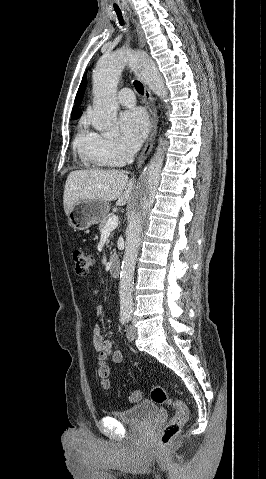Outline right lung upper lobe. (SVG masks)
I'll use <instances>...</instances> for the list:
<instances>
[{
	"mask_svg": "<svg viewBox=\"0 0 266 479\" xmlns=\"http://www.w3.org/2000/svg\"><path fill=\"white\" fill-rule=\"evenodd\" d=\"M85 84H86V76L81 81V84L79 86L78 92L75 97V102L78 104H81L82 102L84 91H85ZM80 115H81V109H79L77 106H74L72 109V116H71L72 119H77L79 118Z\"/></svg>",
	"mask_w": 266,
	"mask_h": 479,
	"instance_id": "cb5924a9",
	"label": "right lung upper lobe"
}]
</instances>
